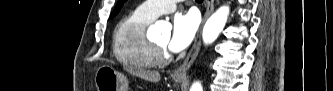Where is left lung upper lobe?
<instances>
[{
	"label": "left lung upper lobe",
	"mask_w": 333,
	"mask_h": 91,
	"mask_svg": "<svg viewBox=\"0 0 333 91\" xmlns=\"http://www.w3.org/2000/svg\"><path fill=\"white\" fill-rule=\"evenodd\" d=\"M125 1H126V0H118V3H117V5H116V7H115V9H114V11H113L111 17H114V16L119 12V10L121 9V7L123 6V3H124Z\"/></svg>",
	"instance_id": "obj_1"
}]
</instances>
